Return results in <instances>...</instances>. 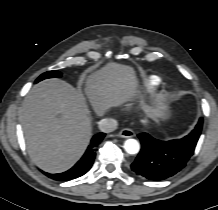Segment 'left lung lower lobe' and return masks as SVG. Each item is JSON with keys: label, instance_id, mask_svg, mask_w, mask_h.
<instances>
[{"label": "left lung lower lobe", "instance_id": "left-lung-lower-lobe-1", "mask_svg": "<svg viewBox=\"0 0 218 210\" xmlns=\"http://www.w3.org/2000/svg\"><path fill=\"white\" fill-rule=\"evenodd\" d=\"M202 123L182 139L160 141L140 133L141 151L131 165L137 174L150 180H163L179 172L192 156L201 133Z\"/></svg>", "mask_w": 218, "mask_h": 210}]
</instances>
